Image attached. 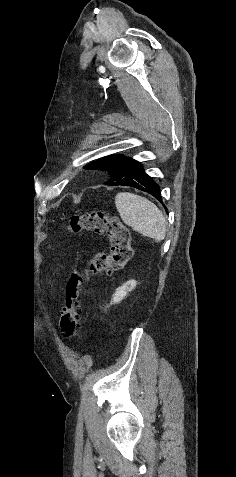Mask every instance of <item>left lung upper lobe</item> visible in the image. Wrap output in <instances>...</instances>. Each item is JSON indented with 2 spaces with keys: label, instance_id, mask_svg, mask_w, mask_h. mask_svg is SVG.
Wrapping results in <instances>:
<instances>
[{
  "label": "left lung upper lobe",
  "instance_id": "5c2ea615",
  "mask_svg": "<svg viewBox=\"0 0 236 477\" xmlns=\"http://www.w3.org/2000/svg\"><path fill=\"white\" fill-rule=\"evenodd\" d=\"M136 162V160L123 155H110L91 162L85 168L90 170H106L111 178L105 184L115 186L128 178Z\"/></svg>",
  "mask_w": 236,
  "mask_h": 477
}]
</instances>
